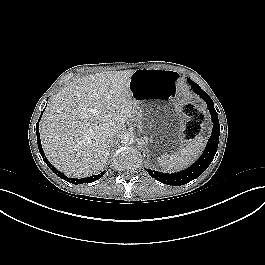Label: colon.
I'll return each instance as SVG.
<instances>
[{
	"instance_id": "colon-1",
	"label": "colon",
	"mask_w": 265,
	"mask_h": 265,
	"mask_svg": "<svg viewBox=\"0 0 265 265\" xmlns=\"http://www.w3.org/2000/svg\"><path fill=\"white\" fill-rule=\"evenodd\" d=\"M182 113L188 118L184 129V137L193 139L197 137L202 129L204 121V113L200 111L194 104L184 102L180 105Z\"/></svg>"
}]
</instances>
